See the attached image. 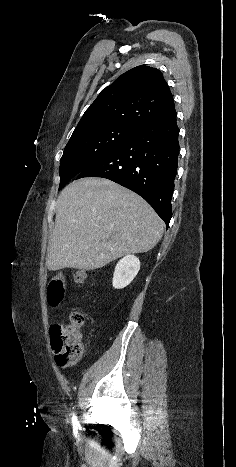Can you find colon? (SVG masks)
<instances>
[{
    "label": "colon",
    "mask_w": 236,
    "mask_h": 467,
    "mask_svg": "<svg viewBox=\"0 0 236 467\" xmlns=\"http://www.w3.org/2000/svg\"><path fill=\"white\" fill-rule=\"evenodd\" d=\"M72 280L79 286L86 285L88 274L85 270H76ZM65 297V278L57 274L47 285V302L50 307H59ZM84 324V315L74 310L69 316L68 324H54L51 330V348L55 354V361L62 368L73 367L83 354V337L80 328Z\"/></svg>",
    "instance_id": "colon-1"
}]
</instances>
